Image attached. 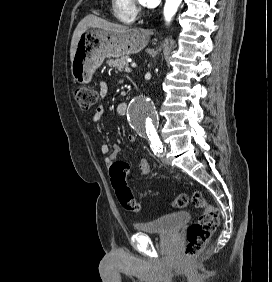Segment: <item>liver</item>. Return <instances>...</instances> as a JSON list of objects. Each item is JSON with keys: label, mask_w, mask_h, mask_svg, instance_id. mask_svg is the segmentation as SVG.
<instances>
[{"label": "liver", "mask_w": 272, "mask_h": 282, "mask_svg": "<svg viewBox=\"0 0 272 282\" xmlns=\"http://www.w3.org/2000/svg\"><path fill=\"white\" fill-rule=\"evenodd\" d=\"M101 28L104 30L108 31H113V32H123L128 30L127 26L120 25L117 23H112L110 21H107L105 19L99 18L95 15H87L84 17L79 24L77 25L73 36L71 40V47H70V59L71 62L73 61L75 50H76V45L77 42L81 36V34L87 29V28Z\"/></svg>", "instance_id": "obj_1"}]
</instances>
